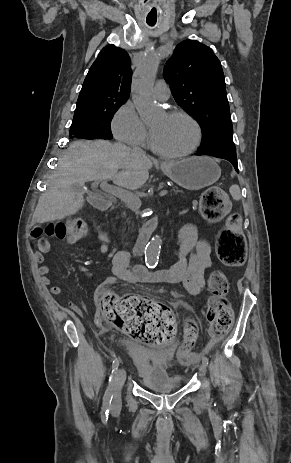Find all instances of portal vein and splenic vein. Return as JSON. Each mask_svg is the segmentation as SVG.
<instances>
[{
  "label": "portal vein and splenic vein",
  "mask_w": 291,
  "mask_h": 463,
  "mask_svg": "<svg viewBox=\"0 0 291 463\" xmlns=\"http://www.w3.org/2000/svg\"><path fill=\"white\" fill-rule=\"evenodd\" d=\"M95 182L100 183V187L103 191L108 192L118 197L122 201L126 202L131 209L138 210L140 208L141 206L140 198L134 193H132L131 191L124 189L123 187H120V186L110 185L108 184L106 179L96 180ZM167 193H168V190L163 189L159 192V195L163 196V195H166Z\"/></svg>",
  "instance_id": "18ae733b"
}]
</instances>
